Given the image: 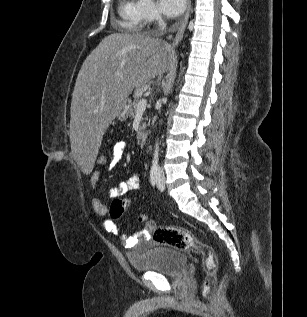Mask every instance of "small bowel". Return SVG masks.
<instances>
[{
	"label": "small bowel",
	"instance_id": "small-bowel-1",
	"mask_svg": "<svg viewBox=\"0 0 307 317\" xmlns=\"http://www.w3.org/2000/svg\"><path fill=\"white\" fill-rule=\"evenodd\" d=\"M128 149V145L125 141L119 140L117 141L112 148L111 158L108 161L106 166L107 170L114 169L123 159L126 151ZM100 178V171L95 170L91 173L90 176V185L92 189L96 190L98 181ZM139 177L136 174L131 175L126 181L118 183L116 186L112 187L108 190L107 195L110 198H118L130 191L137 190L139 188ZM92 206L95 212L100 215L104 216L108 212V207L104 204L99 198L93 197L92 199ZM105 229L109 232L114 234L119 233L118 226L111 220H106L104 222ZM150 235L147 231H140L137 232L133 236H129L127 234L121 235V241L127 248H143L145 244L149 241Z\"/></svg>",
	"mask_w": 307,
	"mask_h": 317
}]
</instances>
